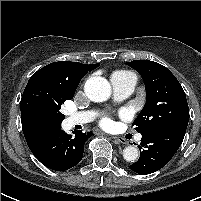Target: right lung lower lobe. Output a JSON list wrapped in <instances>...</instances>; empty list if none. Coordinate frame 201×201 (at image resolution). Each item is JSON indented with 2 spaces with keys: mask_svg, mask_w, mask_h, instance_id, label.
<instances>
[{
  "mask_svg": "<svg viewBox=\"0 0 201 201\" xmlns=\"http://www.w3.org/2000/svg\"><path fill=\"white\" fill-rule=\"evenodd\" d=\"M92 135L75 130L73 135L60 128L50 129L27 141L33 155L46 167L65 171L78 164L83 156L84 144Z\"/></svg>",
  "mask_w": 201,
  "mask_h": 201,
  "instance_id": "1",
  "label": "right lung lower lobe"
}]
</instances>
